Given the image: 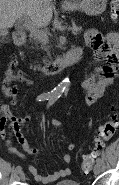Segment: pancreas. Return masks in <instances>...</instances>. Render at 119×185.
Returning <instances> with one entry per match:
<instances>
[{
	"label": "pancreas",
	"instance_id": "pancreas-1",
	"mask_svg": "<svg viewBox=\"0 0 119 185\" xmlns=\"http://www.w3.org/2000/svg\"><path fill=\"white\" fill-rule=\"evenodd\" d=\"M81 30H82L81 27H75L73 28V34L76 35L77 33L81 32ZM29 37H30V41L33 42L35 46L38 47V45L40 44V47L42 49L46 48V44L43 41H41L38 37H36L35 34L31 33Z\"/></svg>",
	"mask_w": 119,
	"mask_h": 185
}]
</instances>
